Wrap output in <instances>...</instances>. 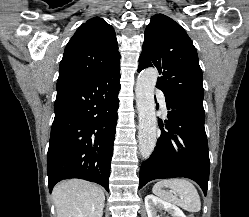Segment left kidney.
I'll return each instance as SVG.
<instances>
[{
  "instance_id": "obj_1",
  "label": "left kidney",
  "mask_w": 249,
  "mask_h": 217,
  "mask_svg": "<svg viewBox=\"0 0 249 217\" xmlns=\"http://www.w3.org/2000/svg\"><path fill=\"white\" fill-rule=\"evenodd\" d=\"M145 208L148 217H159L157 210H165L172 217H186L182 210L176 205L166 202L153 194H149L145 197Z\"/></svg>"
}]
</instances>
